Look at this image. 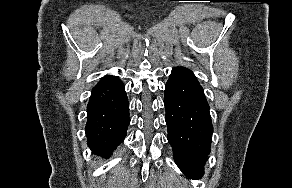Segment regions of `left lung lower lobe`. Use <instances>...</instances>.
<instances>
[{"label": "left lung lower lobe", "instance_id": "0a47b994", "mask_svg": "<svg viewBox=\"0 0 292 188\" xmlns=\"http://www.w3.org/2000/svg\"><path fill=\"white\" fill-rule=\"evenodd\" d=\"M164 105L175 163L190 178L200 176L210 153L213 127L209 105L193 72L185 67L172 69Z\"/></svg>", "mask_w": 292, "mask_h": 188}]
</instances>
